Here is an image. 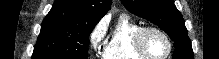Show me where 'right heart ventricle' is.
<instances>
[{"instance_id":"obj_1","label":"right heart ventricle","mask_w":219,"mask_h":59,"mask_svg":"<svg viewBox=\"0 0 219 59\" xmlns=\"http://www.w3.org/2000/svg\"><path fill=\"white\" fill-rule=\"evenodd\" d=\"M142 26L127 14H121L109 32L103 59H146L134 49V38Z\"/></svg>"}]
</instances>
